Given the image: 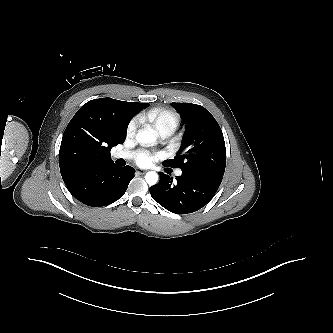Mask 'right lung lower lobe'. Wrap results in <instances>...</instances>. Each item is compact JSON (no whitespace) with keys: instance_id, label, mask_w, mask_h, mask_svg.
Segmentation results:
<instances>
[{"instance_id":"right-lung-lower-lobe-1","label":"right lung lower lobe","mask_w":333,"mask_h":333,"mask_svg":"<svg viewBox=\"0 0 333 333\" xmlns=\"http://www.w3.org/2000/svg\"><path fill=\"white\" fill-rule=\"evenodd\" d=\"M134 172L130 166L118 167L111 162L82 171L66 186L80 202L92 207L106 206L124 195Z\"/></svg>"}]
</instances>
